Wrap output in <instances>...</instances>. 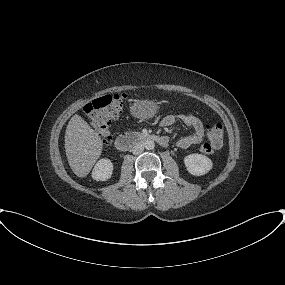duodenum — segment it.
I'll return each instance as SVG.
<instances>
[{"label": "duodenum", "mask_w": 285, "mask_h": 285, "mask_svg": "<svg viewBox=\"0 0 285 285\" xmlns=\"http://www.w3.org/2000/svg\"><path fill=\"white\" fill-rule=\"evenodd\" d=\"M154 141L159 143L161 146H165L168 140L164 136L156 134H140V133H130L120 135L115 140V148L119 151H126L138 143Z\"/></svg>", "instance_id": "410a0bca"}]
</instances>
